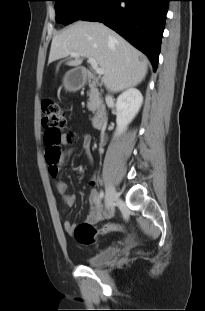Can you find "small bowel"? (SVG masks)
Here are the masks:
<instances>
[{
    "label": "small bowel",
    "instance_id": "c3829d8e",
    "mask_svg": "<svg viewBox=\"0 0 205 311\" xmlns=\"http://www.w3.org/2000/svg\"><path fill=\"white\" fill-rule=\"evenodd\" d=\"M74 139L78 141L81 144L82 148L87 152L89 161L91 162L92 160L90 155L91 136L88 134H74ZM72 152H73L72 150L67 151V153L64 156V160L68 159L71 156ZM49 172L54 178H56L58 175V166L49 167ZM88 181L92 186H94L95 185L94 175H90ZM55 189L58 193L60 200L63 202L65 206L70 207L74 205L75 196L67 193V184L64 181L56 180ZM88 201L90 204V213L87 216L86 221L89 223H97L99 220H101L103 216V207L99 201V195L96 188L93 187L90 190L88 195ZM63 226L65 231L71 234L76 224L70 221H65Z\"/></svg>",
    "mask_w": 205,
    "mask_h": 311
}]
</instances>
